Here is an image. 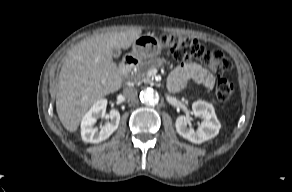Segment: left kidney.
Listing matches in <instances>:
<instances>
[{
	"label": "left kidney",
	"instance_id": "left-kidney-1",
	"mask_svg": "<svg viewBox=\"0 0 292 192\" xmlns=\"http://www.w3.org/2000/svg\"><path fill=\"white\" fill-rule=\"evenodd\" d=\"M193 114L197 117H202L203 121L197 131L193 128H188L187 117L181 115L177 117L175 126L177 133L188 141L201 144L211 138H214L221 128V124L217 119L215 110L212 104L198 100L192 104Z\"/></svg>",
	"mask_w": 292,
	"mask_h": 192
}]
</instances>
